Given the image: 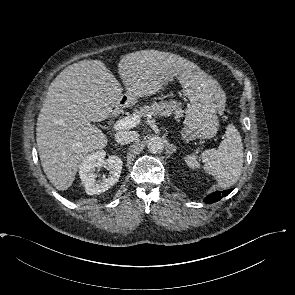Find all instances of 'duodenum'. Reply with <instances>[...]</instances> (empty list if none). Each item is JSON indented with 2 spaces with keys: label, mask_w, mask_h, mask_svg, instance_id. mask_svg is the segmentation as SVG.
<instances>
[{
  "label": "duodenum",
  "mask_w": 295,
  "mask_h": 295,
  "mask_svg": "<svg viewBox=\"0 0 295 295\" xmlns=\"http://www.w3.org/2000/svg\"><path fill=\"white\" fill-rule=\"evenodd\" d=\"M123 107H124V101L123 100H120L116 104V106H115V108H114V110L112 112V116L113 117H116L123 110Z\"/></svg>",
  "instance_id": "1"
}]
</instances>
